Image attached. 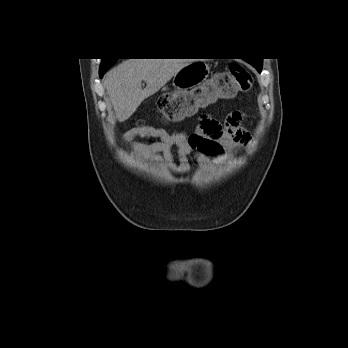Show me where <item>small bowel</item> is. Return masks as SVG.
Masks as SVG:
<instances>
[{
    "label": "small bowel",
    "mask_w": 348,
    "mask_h": 348,
    "mask_svg": "<svg viewBox=\"0 0 348 348\" xmlns=\"http://www.w3.org/2000/svg\"><path fill=\"white\" fill-rule=\"evenodd\" d=\"M147 133L159 141L140 146L139 153L161 161L163 157H170L171 149L176 148L178 164L171 165L170 169L180 174L189 171L192 155H195L198 164L206 168L212 160L223 156L225 147L247 145L251 140L250 132L243 125V114L239 111L230 112L223 125L202 116L198 128L190 134L182 131L167 133L159 129H151Z\"/></svg>",
    "instance_id": "1"
}]
</instances>
